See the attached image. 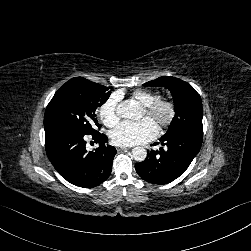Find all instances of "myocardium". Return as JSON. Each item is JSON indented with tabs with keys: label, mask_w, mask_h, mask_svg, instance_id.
<instances>
[{
	"label": "myocardium",
	"mask_w": 251,
	"mask_h": 251,
	"mask_svg": "<svg viewBox=\"0 0 251 251\" xmlns=\"http://www.w3.org/2000/svg\"><path fill=\"white\" fill-rule=\"evenodd\" d=\"M143 111L157 119V123L162 128L172 126L178 117L177 103L170 98H160L149 106H143ZM162 111H167L165 118H160Z\"/></svg>",
	"instance_id": "1"
}]
</instances>
